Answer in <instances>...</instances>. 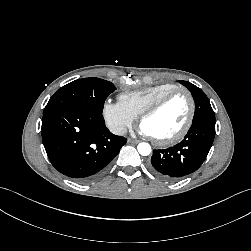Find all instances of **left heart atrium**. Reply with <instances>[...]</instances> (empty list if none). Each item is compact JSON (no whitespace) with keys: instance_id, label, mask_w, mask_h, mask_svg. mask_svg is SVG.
I'll use <instances>...</instances> for the list:
<instances>
[{"instance_id":"39dd6f15","label":"left heart atrium","mask_w":251,"mask_h":251,"mask_svg":"<svg viewBox=\"0 0 251 251\" xmlns=\"http://www.w3.org/2000/svg\"><path fill=\"white\" fill-rule=\"evenodd\" d=\"M139 130H140V133H141V134H143V135H145V136H151V137H152L151 133H150V132L148 131V129H147L146 127H144L143 125H140Z\"/></svg>"}]
</instances>
